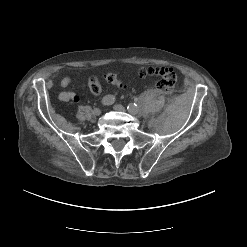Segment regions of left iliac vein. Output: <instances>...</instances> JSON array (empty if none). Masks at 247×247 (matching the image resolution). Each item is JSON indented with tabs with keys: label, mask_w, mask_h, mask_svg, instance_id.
<instances>
[{
	"label": "left iliac vein",
	"mask_w": 247,
	"mask_h": 247,
	"mask_svg": "<svg viewBox=\"0 0 247 247\" xmlns=\"http://www.w3.org/2000/svg\"><path fill=\"white\" fill-rule=\"evenodd\" d=\"M114 110H116V111H120V112H124L125 111V108L122 106V105H120V104H116V105H114ZM138 108V107H137Z\"/></svg>",
	"instance_id": "obj_1"
}]
</instances>
